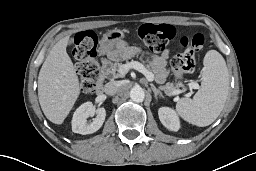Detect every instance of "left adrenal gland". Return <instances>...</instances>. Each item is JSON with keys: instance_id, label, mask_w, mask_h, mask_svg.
Returning a JSON list of instances; mask_svg holds the SVG:
<instances>
[{"instance_id": "obj_1", "label": "left adrenal gland", "mask_w": 256, "mask_h": 171, "mask_svg": "<svg viewBox=\"0 0 256 171\" xmlns=\"http://www.w3.org/2000/svg\"><path fill=\"white\" fill-rule=\"evenodd\" d=\"M151 89H152V91L154 92V97H155L156 99H157V96H158V95L161 96V97H163L161 91H160L159 89L155 88L153 85H151Z\"/></svg>"}]
</instances>
